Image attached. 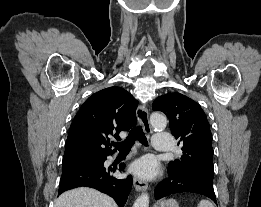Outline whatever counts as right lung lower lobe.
<instances>
[{
  "mask_svg": "<svg viewBox=\"0 0 261 207\" xmlns=\"http://www.w3.org/2000/svg\"><path fill=\"white\" fill-rule=\"evenodd\" d=\"M106 157L91 166H83L62 171L58 195L66 190L76 187L86 186L95 188L111 196L119 207H124L127 197L132 187V177L121 180L114 177L116 170L114 167H106L104 161ZM125 164L121 163L119 171H123Z\"/></svg>",
  "mask_w": 261,
  "mask_h": 207,
  "instance_id": "right-lung-lower-lobe-1",
  "label": "right lung lower lobe"
}]
</instances>
